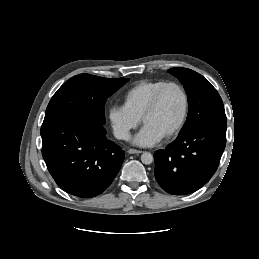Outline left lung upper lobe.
Listing matches in <instances>:
<instances>
[{"label": "left lung upper lobe", "instance_id": "1", "mask_svg": "<svg viewBox=\"0 0 259 259\" xmlns=\"http://www.w3.org/2000/svg\"><path fill=\"white\" fill-rule=\"evenodd\" d=\"M168 72L180 80L188 96L189 112L179 135L203 122H227L220 95L202 75L182 67L171 68Z\"/></svg>", "mask_w": 259, "mask_h": 259}]
</instances>
